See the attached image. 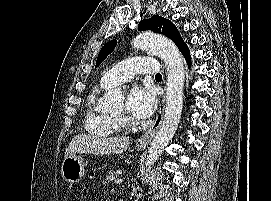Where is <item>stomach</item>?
Instances as JSON below:
<instances>
[{
	"mask_svg": "<svg viewBox=\"0 0 271 201\" xmlns=\"http://www.w3.org/2000/svg\"><path fill=\"white\" fill-rule=\"evenodd\" d=\"M138 151L145 148L143 145L136 146ZM61 174L65 181L76 183L82 180L86 175V163L79 155H73L65 158L62 163Z\"/></svg>",
	"mask_w": 271,
	"mask_h": 201,
	"instance_id": "stomach-1",
	"label": "stomach"
}]
</instances>
